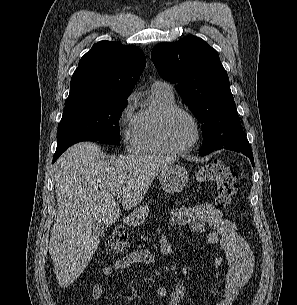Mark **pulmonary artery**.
<instances>
[{
  "instance_id": "1",
  "label": "pulmonary artery",
  "mask_w": 297,
  "mask_h": 305,
  "mask_svg": "<svg viewBox=\"0 0 297 305\" xmlns=\"http://www.w3.org/2000/svg\"><path fill=\"white\" fill-rule=\"evenodd\" d=\"M152 87L160 88L164 90L166 93L170 95H174L173 87L170 83L165 81H155L152 85Z\"/></svg>"
}]
</instances>
